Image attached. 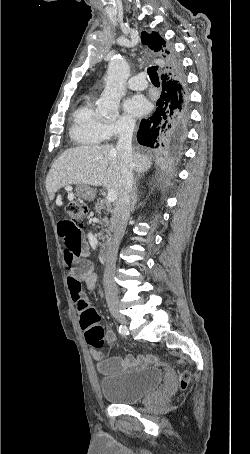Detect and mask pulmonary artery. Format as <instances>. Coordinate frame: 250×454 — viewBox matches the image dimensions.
I'll list each match as a JSON object with an SVG mask.
<instances>
[{
    "label": "pulmonary artery",
    "mask_w": 250,
    "mask_h": 454,
    "mask_svg": "<svg viewBox=\"0 0 250 454\" xmlns=\"http://www.w3.org/2000/svg\"><path fill=\"white\" fill-rule=\"evenodd\" d=\"M148 83L143 74L136 75L132 77L128 83L127 87L131 90H143L147 87Z\"/></svg>",
    "instance_id": "obj_1"
}]
</instances>
